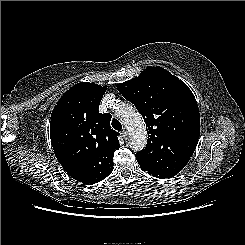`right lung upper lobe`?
<instances>
[{"label": "right lung upper lobe", "instance_id": "obj_1", "mask_svg": "<svg viewBox=\"0 0 245 245\" xmlns=\"http://www.w3.org/2000/svg\"><path fill=\"white\" fill-rule=\"evenodd\" d=\"M105 91V86L80 82L62 95L51 114L56 158L65 171L77 172L83 184L103 180L120 148L119 133L110 127L111 115L98 110Z\"/></svg>", "mask_w": 245, "mask_h": 245}]
</instances>
